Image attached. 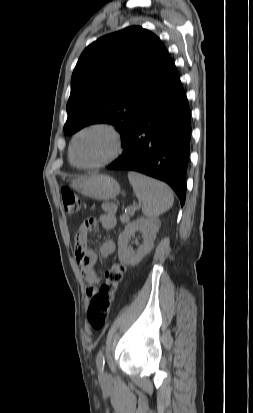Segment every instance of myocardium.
Here are the masks:
<instances>
[{
	"label": "myocardium",
	"mask_w": 253,
	"mask_h": 413,
	"mask_svg": "<svg viewBox=\"0 0 253 413\" xmlns=\"http://www.w3.org/2000/svg\"><path fill=\"white\" fill-rule=\"evenodd\" d=\"M90 131H102L105 132L112 141V148L110 152L98 162L92 164H80L74 158V147L77 139L84 133ZM123 150V141L122 137L115 126L107 122H94L88 124L81 129H79L72 137L70 146H69V158L70 161L78 168L82 169H94L103 167L114 160H116L122 153Z\"/></svg>",
	"instance_id": "obj_1"
}]
</instances>
